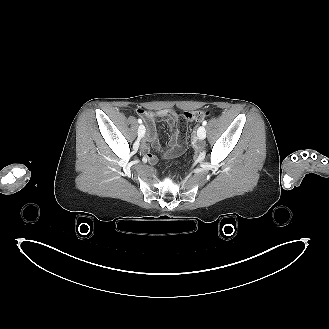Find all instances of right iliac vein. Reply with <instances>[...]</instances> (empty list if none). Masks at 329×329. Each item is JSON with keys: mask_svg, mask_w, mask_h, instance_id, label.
Here are the masks:
<instances>
[{"mask_svg": "<svg viewBox=\"0 0 329 329\" xmlns=\"http://www.w3.org/2000/svg\"><path fill=\"white\" fill-rule=\"evenodd\" d=\"M145 134V126L144 125H140L138 128V137L142 138Z\"/></svg>", "mask_w": 329, "mask_h": 329, "instance_id": "right-iliac-vein-1", "label": "right iliac vein"}]
</instances>
